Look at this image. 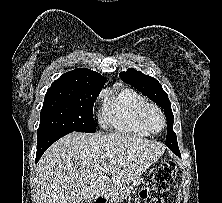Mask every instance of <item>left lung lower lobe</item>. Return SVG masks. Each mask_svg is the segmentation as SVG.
Returning a JSON list of instances; mask_svg holds the SVG:
<instances>
[{
  "label": "left lung lower lobe",
  "instance_id": "0a47b994",
  "mask_svg": "<svg viewBox=\"0 0 222 203\" xmlns=\"http://www.w3.org/2000/svg\"><path fill=\"white\" fill-rule=\"evenodd\" d=\"M170 150H172L173 153H175L176 155H178L179 157L181 156L180 155V151H179V148H178V145L177 146H170L168 147Z\"/></svg>",
  "mask_w": 222,
  "mask_h": 203
}]
</instances>
